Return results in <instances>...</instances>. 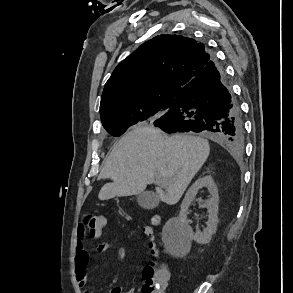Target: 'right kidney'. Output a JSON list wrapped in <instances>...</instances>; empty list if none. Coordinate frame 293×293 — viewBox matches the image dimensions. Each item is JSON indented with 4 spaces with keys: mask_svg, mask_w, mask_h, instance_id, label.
Segmentation results:
<instances>
[{
    "mask_svg": "<svg viewBox=\"0 0 293 293\" xmlns=\"http://www.w3.org/2000/svg\"><path fill=\"white\" fill-rule=\"evenodd\" d=\"M207 188L210 192L209 200L204 202V207L207 208L209 216L207 227L203 231L194 232L188 224L187 211L190 204L195 200V197L200 189ZM218 190L211 176H204L195 181L194 184L186 192L185 198L181 204V211L178 216L177 227L181 235L185 239V247L190 246V241L194 240L199 244H207L211 241L212 235L216 233L218 224ZM168 246V244H166Z\"/></svg>",
    "mask_w": 293,
    "mask_h": 293,
    "instance_id": "right-kidney-1",
    "label": "right kidney"
}]
</instances>
